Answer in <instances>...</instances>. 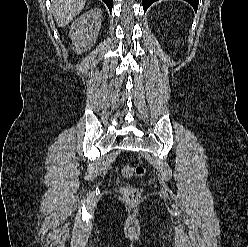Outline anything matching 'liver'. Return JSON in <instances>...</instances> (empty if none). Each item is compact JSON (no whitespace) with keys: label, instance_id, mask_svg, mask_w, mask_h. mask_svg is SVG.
I'll use <instances>...</instances> for the list:
<instances>
[{"label":"liver","instance_id":"1","mask_svg":"<svg viewBox=\"0 0 248 247\" xmlns=\"http://www.w3.org/2000/svg\"><path fill=\"white\" fill-rule=\"evenodd\" d=\"M86 0H52L51 10L59 27L66 26L85 6Z\"/></svg>","mask_w":248,"mask_h":247}]
</instances>
